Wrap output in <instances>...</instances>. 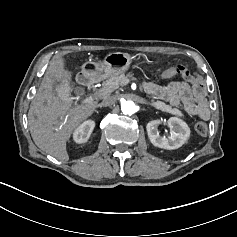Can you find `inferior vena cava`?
<instances>
[{"label":"inferior vena cava","mask_w":237,"mask_h":237,"mask_svg":"<svg viewBox=\"0 0 237 237\" xmlns=\"http://www.w3.org/2000/svg\"><path fill=\"white\" fill-rule=\"evenodd\" d=\"M116 101H117L116 97H114V96H106L103 99L101 105L104 106V107L112 106V105H114L116 103Z\"/></svg>","instance_id":"602c4592"}]
</instances>
